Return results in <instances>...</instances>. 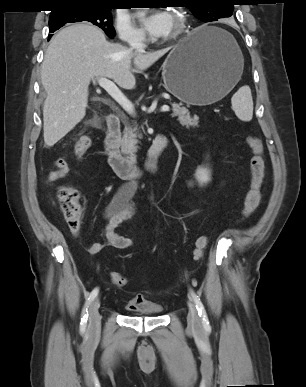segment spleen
I'll return each mask as SVG.
<instances>
[{
	"instance_id": "1",
	"label": "spleen",
	"mask_w": 306,
	"mask_h": 387,
	"mask_svg": "<svg viewBox=\"0 0 306 387\" xmlns=\"http://www.w3.org/2000/svg\"><path fill=\"white\" fill-rule=\"evenodd\" d=\"M232 109L236 116L242 121H250L253 117V100L251 89L245 85L231 98Z\"/></svg>"
}]
</instances>
